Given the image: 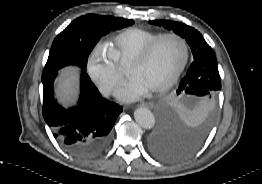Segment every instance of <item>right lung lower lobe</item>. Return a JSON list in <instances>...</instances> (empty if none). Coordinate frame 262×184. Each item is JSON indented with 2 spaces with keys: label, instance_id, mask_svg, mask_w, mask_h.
<instances>
[{
  "label": "right lung lower lobe",
  "instance_id": "1",
  "mask_svg": "<svg viewBox=\"0 0 262 184\" xmlns=\"http://www.w3.org/2000/svg\"><path fill=\"white\" fill-rule=\"evenodd\" d=\"M56 75L57 71L42 75V113L46 123L72 155L79 158L98 156L110 143L111 129L122 107L103 98L83 71L78 104L65 109L54 95Z\"/></svg>",
  "mask_w": 262,
  "mask_h": 184
}]
</instances>
